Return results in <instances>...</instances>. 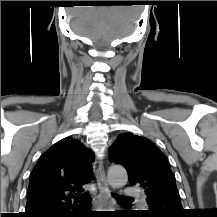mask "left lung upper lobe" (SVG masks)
<instances>
[{
	"instance_id": "1",
	"label": "left lung upper lobe",
	"mask_w": 217,
	"mask_h": 217,
	"mask_svg": "<svg viewBox=\"0 0 217 217\" xmlns=\"http://www.w3.org/2000/svg\"><path fill=\"white\" fill-rule=\"evenodd\" d=\"M109 159L126 168L131 185L145 189L149 205L145 213L159 217H178L183 213L170 164L149 139L120 134L110 148Z\"/></svg>"
}]
</instances>
